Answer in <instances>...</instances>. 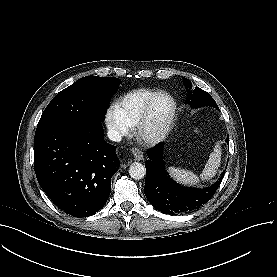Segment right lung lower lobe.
Here are the masks:
<instances>
[{
  "instance_id": "98d812e1",
  "label": "right lung lower lobe",
  "mask_w": 277,
  "mask_h": 277,
  "mask_svg": "<svg viewBox=\"0 0 277 277\" xmlns=\"http://www.w3.org/2000/svg\"><path fill=\"white\" fill-rule=\"evenodd\" d=\"M116 147L104 140L101 122L37 128L34 169L47 196L67 214L88 217L109 197L119 168Z\"/></svg>"
}]
</instances>
